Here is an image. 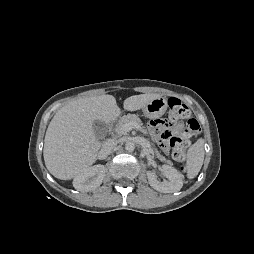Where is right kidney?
<instances>
[{
  "label": "right kidney",
  "mask_w": 254,
  "mask_h": 254,
  "mask_svg": "<svg viewBox=\"0 0 254 254\" xmlns=\"http://www.w3.org/2000/svg\"><path fill=\"white\" fill-rule=\"evenodd\" d=\"M104 176V165H95L78 174L73 180V186L78 191H91L102 184Z\"/></svg>",
  "instance_id": "1"
}]
</instances>
